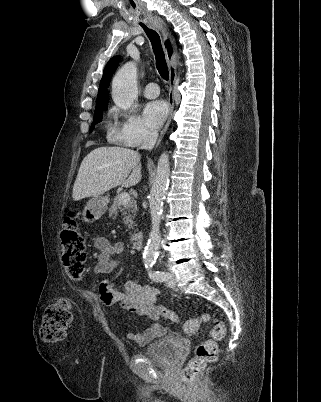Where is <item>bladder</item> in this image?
Returning a JSON list of instances; mask_svg holds the SVG:
<instances>
[{"instance_id": "bladder-1", "label": "bladder", "mask_w": 321, "mask_h": 402, "mask_svg": "<svg viewBox=\"0 0 321 402\" xmlns=\"http://www.w3.org/2000/svg\"><path fill=\"white\" fill-rule=\"evenodd\" d=\"M179 342L180 338L177 335L168 333L144 349L141 356L162 366L171 367L176 364L180 356Z\"/></svg>"}]
</instances>
